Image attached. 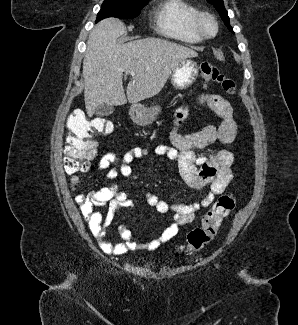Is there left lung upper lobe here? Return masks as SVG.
Instances as JSON below:
<instances>
[{"label": "left lung upper lobe", "mask_w": 298, "mask_h": 325, "mask_svg": "<svg viewBox=\"0 0 298 325\" xmlns=\"http://www.w3.org/2000/svg\"><path fill=\"white\" fill-rule=\"evenodd\" d=\"M207 1L216 8V10L219 12L222 20L224 21V24L228 27V29L232 33H234L232 30V27L229 24V17H228L226 9L224 7L223 0H207Z\"/></svg>", "instance_id": "obj_1"}]
</instances>
